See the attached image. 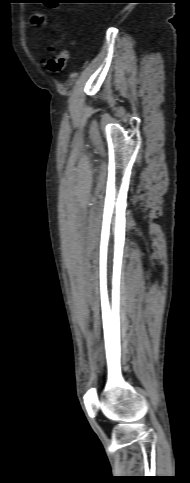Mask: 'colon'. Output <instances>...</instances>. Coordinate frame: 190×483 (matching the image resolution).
<instances>
[{
  "instance_id": "obj_1",
  "label": "colon",
  "mask_w": 190,
  "mask_h": 483,
  "mask_svg": "<svg viewBox=\"0 0 190 483\" xmlns=\"http://www.w3.org/2000/svg\"><path fill=\"white\" fill-rule=\"evenodd\" d=\"M50 51L53 55L46 62L48 71L54 74L63 72L68 63L67 50L62 47L52 46Z\"/></svg>"
}]
</instances>
